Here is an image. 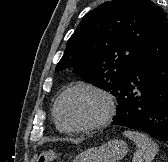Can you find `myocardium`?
<instances>
[{
	"label": "myocardium",
	"instance_id": "f54148a6",
	"mask_svg": "<svg viewBox=\"0 0 168 162\" xmlns=\"http://www.w3.org/2000/svg\"><path fill=\"white\" fill-rule=\"evenodd\" d=\"M79 90H88L100 96L105 102V112L101 118H99L98 120L92 123L80 125V126H69V125H66L61 120L59 115V107L62 100L68 94ZM114 113H115V103L111 94L105 89L89 83H79L68 87L57 97L53 106V116L56 124L60 129L67 132H86V131H93V130L103 128L112 120Z\"/></svg>",
	"mask_w": 168,
	"mask_h": 162
}]
</instances>
